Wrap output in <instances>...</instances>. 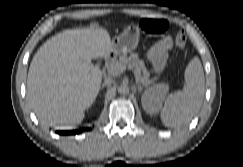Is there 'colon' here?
<instances>
[{
	"label": "colon",
	"mask_w": 243,
	"mask_h": 167,
	"mask_svg": "<svg viewBox=\"0 0 243 167\" xmlns=\"http://www.w3.org/2000/svg\"><path fill=\"white\" fill-rule=\"evenodd\" d=\"M141 29L148 35H160L165 33L170 24L165 19L160 18H143L140 21ZM187 42V37L183 31L175 33V43L179 48H184Z\"/></svg>",
	"instance_id": "colon-1"
}]
</instances>
